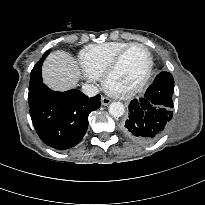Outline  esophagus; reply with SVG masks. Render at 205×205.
Returning a JSON list of instances; mask_svg holds the SVG:
<instances>
[{"mask_svg":"<svg viewBox=\"0 0 205 205\" xmlns=\"http://www.w3.org/2000/svg\"><path fill=\"white\" fill-rule=\"evenodd\" d=\"M101 103H102V105L107 106V105H109L111 103V99L108 98V97L102 96L101 97Z\"/></svg>","mask_w":205,"mask_h":205,"instance_id":"obj_1","label":"esophagus"}]
</instances>
